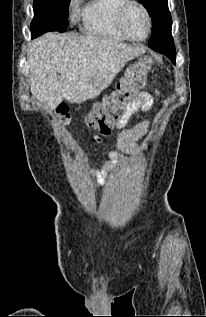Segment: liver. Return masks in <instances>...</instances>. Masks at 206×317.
<instances>
[{
  "instance_id": "liver-1",
  "label": "liver",
  "mask_w": 206,
  "mask_h": 317,
  "mask_svg": "<svg viewBox=\"0 0 206 317\" xmlns=\"http://www.w3.org/2000/svg\"><path fill=\"white\" fill-rule=\"evenodd\" d=\"M144 53L142 46L99 36L46 33L29 47L31 93L50 109L64 99L82 103L97 97L127 61Z\"/></svg>"
}]
</instances>
